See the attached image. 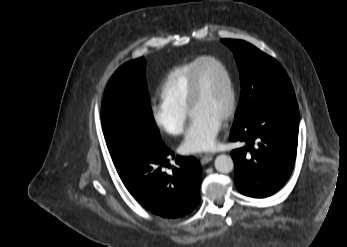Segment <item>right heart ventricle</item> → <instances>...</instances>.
I'll list each match as a JSON object with an SVG mask.
<instances>
[{"instance_id": "obj_1", "label": "right heart ventricle", "mask_w": 347, "mask_h": 247, "mask_svg": "<svg viewBox=\"0 0 347 247\" xmlns=\"http://www.w3.org/2000/svg\"><path fill=\"white\" fill-rule=\"evenodd\" d=\"M198 59L173 68L163 80L159 94L161 100L173 107L188 110L187 95L191 72Z\"/></svg>"}]
</instances>
